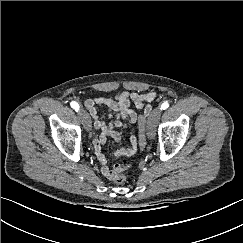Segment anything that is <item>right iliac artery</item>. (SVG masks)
Returning <instances> with one entry per match:
<instances>
[{"instance_id": "82829eb1", "label": "right iliac artery", "mask_w": 243, "mask_h": 243, "mask_svg": "<svg viewBox=\"0 0 243 243\" xmlns=\"http://www.w3.org/2000/svg\"><path fill=\"white\" fill-rule=\"evenodd\" d=\"M71 107L75 110V111H78L79 110V105H78V103H76V102H71Z\"/></svg>"}]
</instances>
